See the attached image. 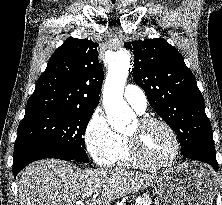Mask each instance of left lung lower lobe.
<instances>
[{
    "label": "left lung lower lobe",
    "instance_id": "0a47b994",
    "mask_svg": "<svg viewBox=\"0 0 222 205\" xmlns=\"http://www.w3.org/2000/svg\"><path fill=\"white\" fill-rule=\"evenodd\" d=\"M186 158H189L191 160L199 161L205 164L210 165L215 169V171H218V163L215 158H208V157H203V156H198V155H185Z\"/></svg>",
    "mask_w": 222,
    "mask_h": 205
}]
</instances>
